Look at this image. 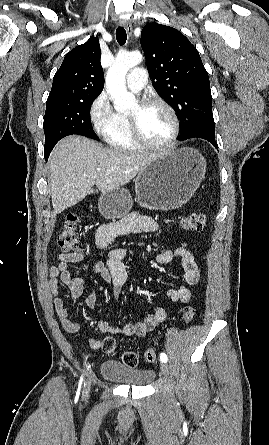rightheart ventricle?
Wrapping results in <instances>:
<instances>
[{"label": "right heart ventricle", "instance_id": "1", "mask_svg": "<svg viewBox=\"0 0 269 445\" xmlns=\"http://www.w3.org/2000/svg\"><path fill=\"white\" fill-rule=\"evenodd\" d=\"M102 134L106 142L115 149L131 152L140 150L132 136L127 113L115 112Z\"/></svg>", "mask_w": 269, "mask_h": 445}]
</instances>
